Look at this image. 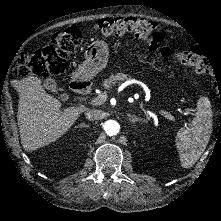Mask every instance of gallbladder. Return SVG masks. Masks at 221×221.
<instances>
[{
    "label": "gallbladder",
    "instance_id": "bac80fb5",
    "mask_svg": "<svg viewBox=\"0 0 221 221\" xmlns=\"http://www.w3.org/2000/svg\"><path fill=\"white\" fill-rule=\"evenodd\" d=\"M43 87L46 90H49L53 93H57L58 92V87H57V83L55 81V79L51 78V77H47L43 80Z\"/></svg>",
    "mask_w": 221,
    "mask_h": 221
}]
</instances>
